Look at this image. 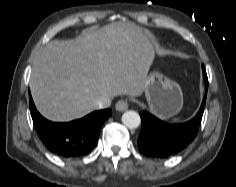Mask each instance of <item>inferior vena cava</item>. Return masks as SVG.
<instances>
[{
	"mask_svg": "<svg viewBox=\"0 0 236 187\" xmlns=\"http://www.w3.org/2000/svg\"><path fill=\"white\" fill-rule=\"evenodd\" d=\"M111 105V99L107 96H102L99 98L93 105V108L96 109H104L108 108Z\"/></svg>",
	"mask_w": 236,
	"mask_h": 187,
	"instance_id": "inferior-vena-cava-1",
	"label": "inferior vena cava"
}]
</instances>
